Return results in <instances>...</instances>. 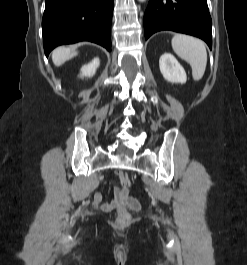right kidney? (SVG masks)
<instances>
[{"instance_id": "ca27d5eb", "label": "right kidney", "mask_w": 247, "mask_h": 265, "mask_svg": "<svg viewBox=\"0 0 247 265\" xmlns=\"http://www.w3.org/2000/svg\"><path fill=\"white\" fill-rule=\"evenodd\" d=\"M99 64V59L95 58L92 60V62L88 63L87 65H84L81 68V77H92L95 74Z\"/></svg>"}]
</instances>
